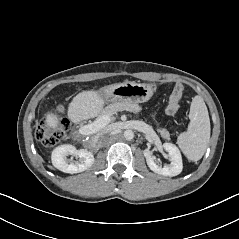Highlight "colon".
<instances>
[{"label": "colon", "instance_id": "5ec220e1", "mask_svg": "<svg viewBox=\"0 0 239 239\" xmlns=\"http://www.w3.org/2000/svg\"><path fill=\"white\" fill-rule=\"evenodd\" d=\"M59 112L62 110L59 109ZM152 121L153 123L160 127L163 125V120L160 117V113L158 110H153L152 113ZM69 123L66 119L61 120L60 127L58 129H54L50 127L46 122L40 123L35 130V137L38 141H40L45 146H53L55 145L59 139L68 131Z\"/></svg>", "mask_w": 239, "mask_h": 239}]
</instances>
